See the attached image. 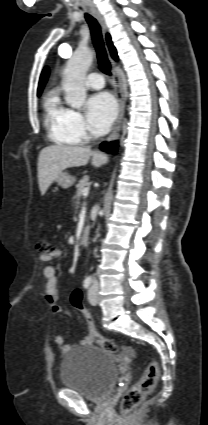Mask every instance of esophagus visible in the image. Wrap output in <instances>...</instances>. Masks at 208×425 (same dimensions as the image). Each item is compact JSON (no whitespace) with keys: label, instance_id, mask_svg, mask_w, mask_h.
Wrapping results in <instances>:
<instances>
[{"label":"esophagus","instance_id":"obj_1","mask_svg":"<svg viewBox=\"0 0 208 425\" xmlns=\"http://www.w3.org/2000/svg\"><path fill=\"white\" fill-rule=\"evenodd\" d=\"M90 12L91 14L98 20V22L100 23L103 32H106V23L104 21V18L101 16V14L94 8L91 7L90 8ZM110 57V55H109ZM113 69H112V79H113V85L116 91V96H117V100H118V104H119V113H118V117L116 119V122L112 128V132L111 134L108 136L107 141H114L119 137V133L121 130V125H122V120L125 114V101L121 92V80L120 77L118 75V73L115 70L116 67V62L110 57Z\"/></svg>","mask_w":208,"mask_h":425}]
</instances>
